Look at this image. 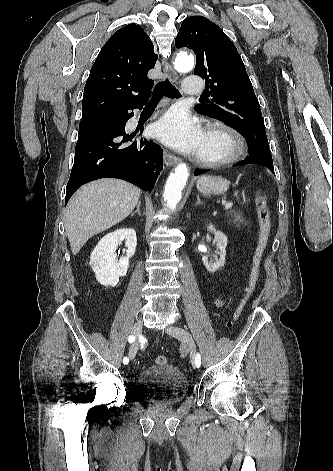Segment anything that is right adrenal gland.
Here are the masks:
<instances>
[{
  "instance_id": "2a0ac1e0",
  "label": "right adrenal gland",
  "mask_w": 333,
  "mask_h": 471,
  "mask_svg": "<svg viewBox=\"0 0 333 471\" xmlns=\"http://www.w3.org/2000/svg\"><path fill=\"white\" fill-rule=\"evenodd\" d=\"M140 205H141V201L138 202L137 209L131 214V216H133L135 213H138L139 215H141Z\"/></svg>"
}]
</instances>
